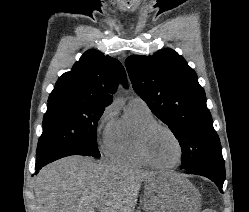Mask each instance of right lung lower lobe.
<instances>
[{
  "label": "right lung lower lobe",
  "instance_id": "right-lung-lower-lobe-1",
  "mask_svg": "<svg viewBox=\"0 0 249 212\" xmlns=\"http://www.w3.org/2000/svg\"><path fill=\"white\" fill-rule=\"evenodd\" d=\"M76 153L78 152H74V151L56 152V153H48L41 157H36L37 159L36 165H35L36 173H38V171L46 164L53 162L54 160L60 159L62 157H65V156L75 155Z\"/></svg>",
  "mask_w": 249,
  "mask_h": 212
}]
</instances>
